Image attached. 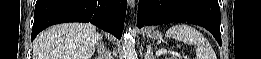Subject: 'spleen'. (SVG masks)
<instances>
[{
	"mask_svg": "<svg viewBox=\"0 0 261 59\" xmlns=\"http://www.w3.org/2000/svg\"><path fill=\"white\" fill-rule=\"evenodd\" d=\"M166 37L185 44L194 45L198 59H216L215 53L208 40L200 31L188 24L172 26L167 30Z\"/></svg>",
	"mask_w": 261,
	"mask_h": 59,
	"instance_id": "spleen-1",
	"label": "spleen"
}]
</instances>
